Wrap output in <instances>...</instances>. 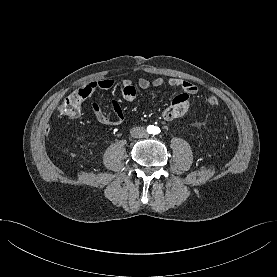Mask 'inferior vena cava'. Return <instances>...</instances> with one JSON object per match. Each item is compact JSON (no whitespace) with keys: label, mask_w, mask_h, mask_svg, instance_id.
I'll use <instances>...</instances> for the list:
<instances>
[{"label":"inferior vena cava","mask_w":277,"mask_h":277,"mask_svg":"<svg viewBox=\"0 0 277 277\" xmlns=\"http://www.w3.org/2000/svg\"><path fill=\"white\" fill-rule=\"evenodd\" d=\"M131 136L134 138H142L147 136L146 130L143 127H136L131 129Z\"/></svg>","instance_id":"602c4592"}]
</instances>
